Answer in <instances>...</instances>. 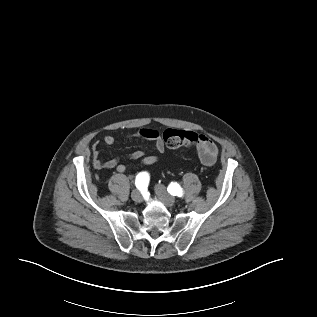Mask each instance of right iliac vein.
<instances>
[{
	"label": "right iliac vein",
	"mask_w": 317,
	"mask_h": 317,
	"mask_svg": "<svg viewBox=\"0 0 317 317\" xmlns=\"http://www.w3.org/2000/svg\"><path fill=\"white\" fill-rule=\"evenodd\" d=\"M132 200L136 203H140L143 201V197L139 190H134L131 194Z\"/></svg>",
	"instance_id": "obj_1"
}]
</instances>
